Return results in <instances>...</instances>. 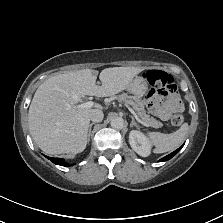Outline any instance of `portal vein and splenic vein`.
<instances>
[{
  "label": "portal vein and splenic vein",
  "instance_id": "portal-vein-and-splenic-vein-1",
  "mask_svg": "<svg viewBox=\"0 0 223 223\" xmlns=\"http://www.w3.org/2000/svg\"><path fill=\"white\" fill-rule=\"evenodd\" d=\"M93 105H94V102L88 101L86 103H82V104L78 105L77 108H92ZM125 108H126V110H128V112H131V114L135 118V121H138L139 123H142L143 125L148 126V127L152 126L151 122L145 123V122H142L141 119H138V115H136L135 110H133V108L129 107L128 103H125Z\"/></svg>",
  "mask_w": 223,
  "mask_h": 223
}]
</instances>
